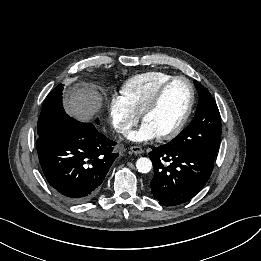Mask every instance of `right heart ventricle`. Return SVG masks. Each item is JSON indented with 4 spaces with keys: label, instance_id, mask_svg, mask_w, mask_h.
<instances>
[{
    "label": "right heart ventricle",
    "instance_id": "1",
    "mask_svg": "<svg viewBox=\"0 0 261 261\" xmlns=\"http://www.w3.org/2000/svg\"><path fill=\"white\" fill-rule=\"evenodd\" d=\"M174 77L173 74L161 70H153L128 78L121 87V94L134 111L141 115L159 88Z\"/></svg>",
    "mask_w": 261,
    "mask_h": 261
}]
</instances>
